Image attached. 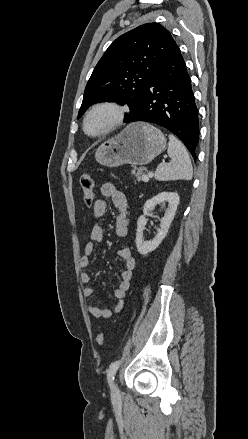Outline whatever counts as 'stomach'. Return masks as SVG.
<instances>
[{
    "label": "stomach",
    "instance_id": "0dacf381",
    "mask_svg": "<svg viewBox=\"0 0 248 439\" xmlns=\"http://www.w3.org/2000/svg\"><path fill=\"white\" fill-rule=\"evenodd\" d=\"M166 147L164 134L153 125L136 122L119 135L102 143L95 152L96 161L107 167L123 164L146 165Z\"/></svg>",
    "mask_w": 248,
    "mask_h": 439
}]
</instances>
